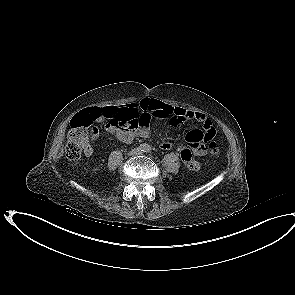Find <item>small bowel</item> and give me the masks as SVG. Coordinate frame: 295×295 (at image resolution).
<instances>
[{"label":"small bowel","mask_w":295,"mask_h":295,"mask_svg":"<svg viewBox=\"0 0 295 295\" xmlns=\"http://www.w3.org/2000/svg\"><path fill=\"white\" fill-rule=\"evenodd\" d=\"M113 109V119L105 123L107 132L115 136L122 143L129 144L135 138H146L150 135V120L152 116L166 119L171 126H178L181 123L196 120L202 123V129H192L186 135L188 147L180 148V156L184 164L196 169L199 167L197 156H203L207 153V141L215 136V129L211 119L204 113L187 110L165 103L158 99L144 98L139 102L128 103L120 106L109 107ZM102 108H91L86 113L95 122H103L104 117L100 115ZM126 119L137 120L139 126L136 129L120 127L118 124ZM98 130L93 138L98 137ZM162 149H170V141L160 143ZM92 148L88 146L85 150L86 155L92 154Z\"/></svg>","instance_id":"1"}]
</instances>
